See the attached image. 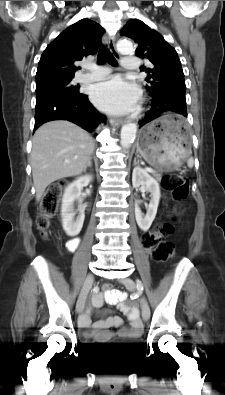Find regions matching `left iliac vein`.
I'll list each match as a JSON object with an SVG mask.
<instances>
[{"mask_svg":"<svg viewBox=\"0 0 225 395\" xmlns=\"http://www.w3.org/2000/svg\"><path fill=\"white\" fill-rule=\"evenodd\" d=\"M121 283L130 291L139 290L136 286V283L129 277L122 279ZM138 293L140 294L139 301H140L141 310H142V318L144 321H147L150 317V308H149L146 298L141 295L140 291H138Z\"/></svg>","mask_w":225,"mask_h":395,"instance_id":"obj_1","label":"left iliac vein"}]
</instances>
